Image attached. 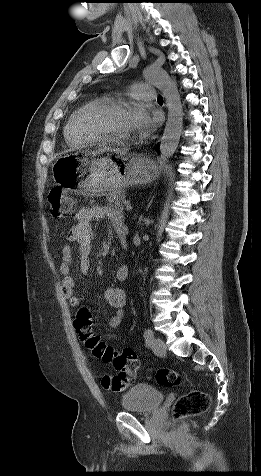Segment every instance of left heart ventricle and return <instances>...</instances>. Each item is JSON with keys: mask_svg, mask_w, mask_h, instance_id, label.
Here are the masks:
<instances>
[{"mask_svg": "<svg viewBox=\"0 0 261 476\" xmlns=\"http://www.w3.org/2000/svg\"><path fill=\"white\" fill-rule=\"evenodd\" d=\"M131 107L113 112L102 119V124L110 131L120 136H130L132 129L130 125Z\"/></svg>", "mask_w": 261, "mask_h": 476, "instance_id": "b2bd125f", "label": "left heart ventricle"}]
</instances>
